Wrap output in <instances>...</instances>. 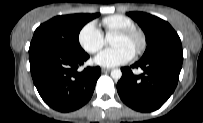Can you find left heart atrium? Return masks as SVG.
I'll list each match as a JSON object with an SVG mask.
<instances>
[{
	"label": "left heart atrium",
	"instance_id": "1",
	"mask_svg": "<svg viewBox=\"0 0 203 123\" xmlns=\"http://www.w3.org/2000/svg\"><path fill=\"white\" fill-rule=\"evenodd\" d=\"M133 53L122 46H112L95 57V63L104 67H115L129 62Z\"/></svg>",
	"mask_w": 203,
	"mask_h": 123
}]
</instances>
